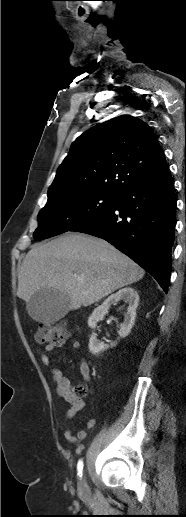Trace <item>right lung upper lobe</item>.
I'll return each instance as SVG.
<instances>
[{
    "label": "right lung upper lobe",
    "mask_w": 186,
    "mask_h": 517,
    "mask_svg": "<svg viewBox=\"0 0 186 517\" xmlns=\"http://www.w3.org/2000/svg\"><path fill=\"white\" fill-rule=\"evenodd\" d=\"M168 170L152 129L122 115L78 137L48 189V200L86 192L120 195Z\"/></svg>",
    "instance_id": "cb5924a9"
}]
</instances>
